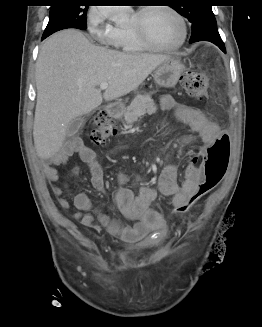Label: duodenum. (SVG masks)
Here are the masks:
<instances>
[{"label": "duodenum", "mask_w": 262, "mask_h": 327, "mask_svg": "<svg viewBox=\"0 0 262 327\" xmlns=\"http://www.w3.org/2000/svg\"><path fill=\"white\" fill-rule=\"evenodd\" d=\"M105 111L111 116V117H118L121 113V107L117 104H109L105 107Z\"/></svg>", "instance_id": "duodenum-1"}]
</instances>
